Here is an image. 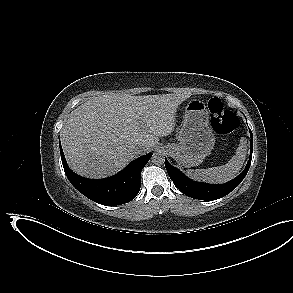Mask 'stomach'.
Returning a JSON list of instances; mask_svg holds the SVG:
<instances>
[{"mask_svg": "<svg viewBox=\"0 0 293 293\" xmlns=\"http://www.w3.org/2000/svg\"><path fill=\"white\" fill-rule=\"evenodd\" d=\"M178 139V144H168L166 150L184 167L200 165L213 149L215 137L203 101L192 99L188 102Z\"/></svg>", "mask_w": 293, "mask_h": 293, "instance_id": "stomach-1", "label": "stomach"}]
</instances>
